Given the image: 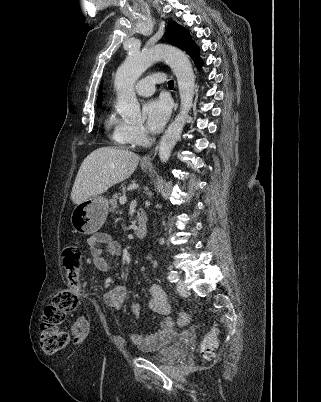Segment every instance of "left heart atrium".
<instances>
[{
    "label": "left heart atrium",
    "instance_id": "1",
    "mask_svg": "<svg viewBox=\"0 0 321 402\" xmlns=\"http://www.w3.org/2000/svg\"><path fill=\"white\" fill-rule=\"evenodd\" d=\"M143 111L148 129L157 133L167 122L171 112V105L168 99L160 97L149 100L144 105Z\"/></svg>",
    "mask_w": 321,
    "mask_h": 402
}]
</instances>
